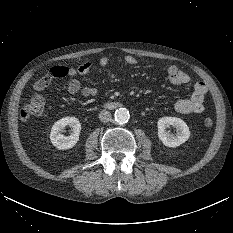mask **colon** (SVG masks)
Here are the masks:
<instances>
[{
    "label": "colon",
    "mask_w": 233,
    "mask_h": 233,
    "mask_svg": "<svg viewBox=\"0 0 233 233\" xmlns=\"http://www.w3.org/2000/svg\"><path fill=\"white\" fill-rule=\"evenodd\" d=\"M45 109V100L41 95L34 94L25 103L20 111V116L23 120H27L30 117L41 116ZM206 127H211L213 125V119L211 117H206L203 121Z\"/></svg>",
    "instance_id": "obj_1"
}]
</instances>
